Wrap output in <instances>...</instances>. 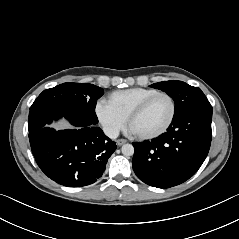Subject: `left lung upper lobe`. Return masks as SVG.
Masks as SVG:
<instances>
[{"label": "left lung upper lobe", "instance_id": "1", "mask_svg": "<svg viewBox=\"0 0 239 239\" xmlns=\"http://www.w3.org/2000/svg\"><path fill=\"white\" fill-rule=\"evenodd\" d=\"M151 87L166 92L175 102L174 117L198 107L211 106L204 93L185 82L172 80L152 84Z\"/></svg>", "mask_w": 239, "mask_h": 239}]
</instances>
